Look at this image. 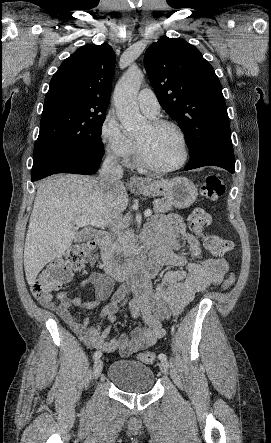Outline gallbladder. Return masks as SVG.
Instances as JSON below:
<instances>
[{"instance_id": "bac80fb5", "label": "gallbladder", "mask_w": 271, "mask_h": 443, "mask_svg": "<svg viewBox=\"0 0 271 443\" xmlns=\"http://www.w3.org/2000/svg\"><path fill=\"white\" fill-rule=\"evenodd\" d=\"M89 237H93V233L91 235H84V239H89Z\"/></svg>"}]
</instances>
